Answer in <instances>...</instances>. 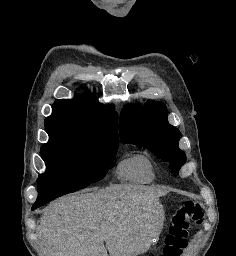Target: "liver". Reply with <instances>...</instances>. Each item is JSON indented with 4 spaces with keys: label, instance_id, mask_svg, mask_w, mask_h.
<instances>
[{
    "label": "liver",
    "instance_id": "6515ba94",
    "mask_svg": "<svg viewBox=\"0 0 236 256\" xmlns=\"http://www.w3.org/2000/svg\"><path fill=\"white\" fill-rule=\"evenodd\" d=\"M88 192L48 204L37 230L42 256L144 254L149 248L143 236L150 210L147 202L161 196L160 192L131 184L90 188ZM159 206L155 204L153 210Z\"/></svg>",
    "mask_w": 236,
    "mask_h": 256
}]
</instances>
